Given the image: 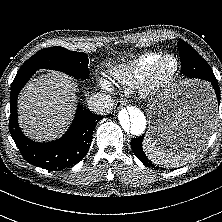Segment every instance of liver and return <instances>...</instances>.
Instances as JSON below:
<instances>
[{"label":"liver","mask_w":222,"mask_h":222,"mask_svg":"<svg viewBox=\"0 0 222 222\" xmlns=\"http://www.w3.org/2000/svg\"><path fill=\"white\" fill-rule=\"evenodd\" d=\"M75 101V89L67 75L57 71L42 74L33 78L18 98L19 124L25 135L36 141L56 138L72 119Z\"/></svg>","instance_id":"liver-1"}]
</instances>
